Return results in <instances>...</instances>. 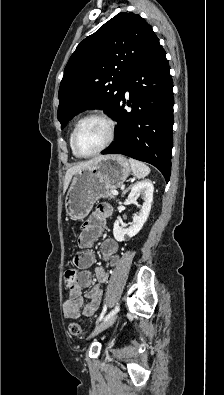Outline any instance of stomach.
<instances>
[{"instance_id":"0dacf381","label":"stomach","mask_w":224,"mask_h":395,"mask_svg":"<svg viewBox=\"0 0 224 395\" xmlns=\"http://www.w3.org/2000/svg\"><path fill=\"white\" fill-rule=\"evenodd\" d=\"M130 173L131 167L124 156H101L73 176L65 199L66 214L72 220L85 218L94 203L121 187Z\"/></svg>"}]
</instances>
